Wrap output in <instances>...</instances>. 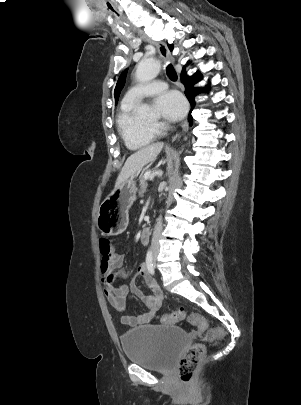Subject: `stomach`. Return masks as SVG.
Listing matches in <instances>:
<instances>
[{"mask_svg":"<svg viewBox=\"0 0 301 405\" xmlns=\"http://www.w3.org/2000/svg\"><path fill=\"white\" fill-rule=\"evenodd\" d=\"M134 176L115 187L98 210L97 226L104 235H117L128 226V211L136 200Z\"/></svg>","mask_w":301,"mask_h":405,"instance_id":"1","label":"stomach"}]
</instances>
